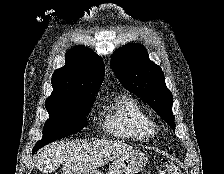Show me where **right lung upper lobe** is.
<instances>
[{"label":"right lung upper lobe","instance_id":"1","mask_svg":"<svg viewBox=\"0 0 224 174\" xmlns=\"http://www.w3.org/2000/svg\"><path fill=\"white\" fill-rule=\"evenodd\" d=\"M66 64L52 75L53 92L46 102H68L95 97L104 79L101 58L85 47L67 51Z\"/></svg>","mask_w":224,"mask_h":174}]
</instances>
